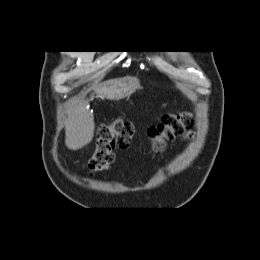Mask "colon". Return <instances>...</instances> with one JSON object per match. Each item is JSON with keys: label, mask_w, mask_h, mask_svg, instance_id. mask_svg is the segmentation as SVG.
<instances>
[{"label": "colon", "mask_w": 260, "mask_h": 260, "mask_svg": "<svg viewBox=\"0 0 260 260\" xmlns=\"http://www.w3.org/2000/svg\"><path fill=\"white\" fill-rule=\"evenodd\" d=\"M193 125V116L187 111L166 114L161 122L148 129V137L155 152L161 153L169 142L184 135ZM132 123L117 118L99 126L95 150L89 160L91 173L106 170L114 159V150L128 147L134 138Z\"/></svg>", "instance_id": "5ec220e1"}]
</instances>
